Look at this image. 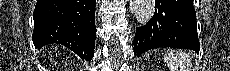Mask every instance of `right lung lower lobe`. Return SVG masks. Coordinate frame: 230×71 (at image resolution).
Instances as JSON below:
<instances>
[{"instance_id": "1", "label": "right lung lower lobe", "mask_w": 230, "mask_h": 71, "mask_svg": "<svg viewBox=\"0 0 230 71\" xmlns=\"http://www.w3.org/2000/svg\"><path fill=\"white\" fill-rule=\"evenodd\" d=\"M96 0H37L34 9L35 48L57 43L91 61L94 55Z\"/></svg>"}]
</instances>
